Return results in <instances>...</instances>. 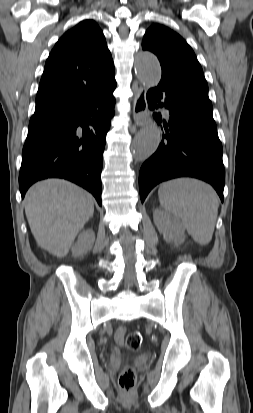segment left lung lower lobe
<instances>
[{
  "instance_id": "1",
  "label": "left lung lower lobe",
  "mask_w": 253,
  "mask_h": 413,
  "mask_svg": "<svg viewBox=\"0 0 253 413\" xmlns=\"http://www.w3.org/2000/svg\"><path fill=\"white\" fill-rule=\"evenodd\" d=\"M165 97V103L161 98ZM151 110L165 106L169 122L157 151L144 162L139 173V190L143 202L158 183L177 177H195L210 183L223 201L225 170L222 145L212 115L209 99L165 83L148 91ZM158 123L160 113H154Z\"/></svg>"
}]
</instances>
